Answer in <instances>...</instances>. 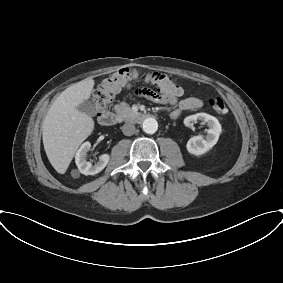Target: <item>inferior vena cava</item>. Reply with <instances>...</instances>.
<instances>
[{"label":"inferior vena cava","instance_id":"602c4592","mask_svg":"<svg viewBox=\"0 0 283 283\" xmlns=\"http://www.w3.org/2000/svg\"><path fill=\"white\" fill-rule=\"evenodd\" d=\"M135 126L131 123H126L122 126V132L126 136H131L135 133Z\"/></svg>","mask_w":283,"mask_h":283}]
</instances>
